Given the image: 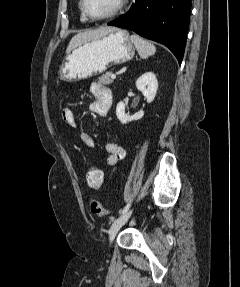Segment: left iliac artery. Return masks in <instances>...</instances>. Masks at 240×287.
<instances>
[{
	"mask_svg": "<svg viewBox=\"0 0 240 287\" xmlns=\"http://www.w3.org/2000/svg\"><path fill=\"white\" fill-rule=\"evenodd\" d=\"M130 205H131V203L129 202V203L123 208V210L121 211V214H124L125 212H127L128 209L130 208Z\"/></svg>",
	"mask_w": 240,
	"mask_h": 287,
	"instance_id": "44dca946",
	"label": "left iliac artery"
}]
</instances>
